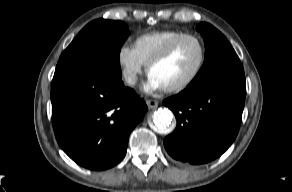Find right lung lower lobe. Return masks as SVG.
<instances>
[{"label":"right lung lower lobe","instance_id":"right-lung-lower-lobe-1","mask_svg":"<svg viewBox=\"0 0 292 192\" xmlns=\"http://www.w3.org/2000/svg\"><path fill=\"white\" fill-rule=\"evenodd\" d=\"M56 139L77 164L105 170L126 154L147 106L121 78L91 67L57 66L51 85Z\"/></svg>","mask_w":292,"mask_h":192}]
</instances>
